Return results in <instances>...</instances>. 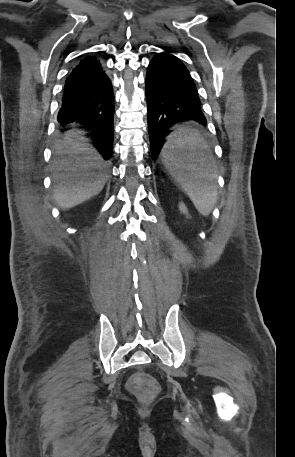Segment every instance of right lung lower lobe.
Returning <instances> with one entry per match:
<instances>
[{
  "mask_svg": "<svg viewBox=\"0 0 295 457\" xmlns=\"http://www.w3.org/2000/svg\"><path fill=\"white\" fill-rule=\"evenodd\" d=\"M114 95L110 79L94 56L84 57L69 74L58 122H80L93 132L92 144L109 159L113 145Z\"/></svg>",
  "mask_w": 295,
  "mask_h": 457,
  "instance_id": "right-lung-lower-lobe-1",
  "label": "right lung lower lobe"
}]
</instances>
